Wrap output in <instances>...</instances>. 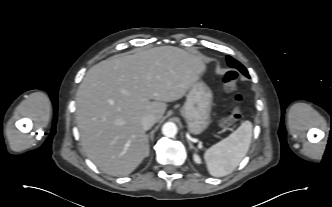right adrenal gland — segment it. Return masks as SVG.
<instances>
[{
    "label": "right adrenal gland",
    "mask_w": 332,
    "mask_h": 207,
    "mask_svg": "<svg viewBox=\"0 0 332 207\" xmlns=\"http://www.w3.org/2000/svg\"><path fill=\"white\" fill-rule=\"evenodd\" d=\"M146 138H147V153H146V156L149 155V135H146Z\"/></svg>",
    "instance_id": "2a0ac1e0"
}]
</instances>
